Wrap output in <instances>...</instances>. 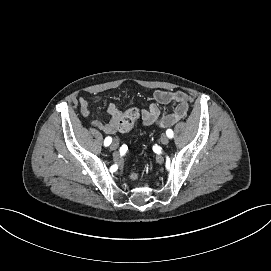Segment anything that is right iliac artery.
<instances>
[{"label":"right iliac artery","mask_w":271,"mask_h":271,"mask_svg":"<svg viewBox=\"0 0 271 271\" xmlns=\"http://www.w3.org/2000/svg\"><path fill=\"white\" fill-rule=\"evenodd\" d=\"M112 142V138L111 137H106L104 140V145L105 146H109Z\"/></svg>","instance_id":"obj_1"}]
</instances>
